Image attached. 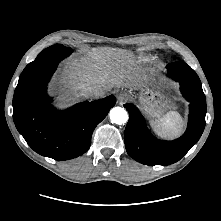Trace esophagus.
<instances>
[{"label":"esophagus","instance_id":"obj_1","mask_svg":"<svg viewBox=\"0 0 221 221\" xmlns=\"http://www.w3.org/2000/svg\"><path fill=\"white\" fill-rule=\"evenodd\" d=\"M129 98H130V94L127 91H120L117 94V99H118L119 103H123V102L129 100Z\"/></svg>","mask_w":221,"mask_h":221}]
</instances>
